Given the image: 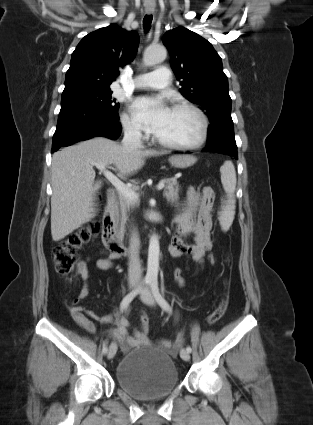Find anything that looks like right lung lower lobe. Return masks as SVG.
Returning a JSON list of instances; mask_svg holds the SVG:
<instances>
[{"mask_svg": "<svg viewBox=\"0 0 313 425\" xmlns=\"http://www.w3.org/2000/svg\"><path fill=\"white\" fill-rule=\"evenodd\" d=\"M118 121V113L72 100L61 102L52 152L97 136L115 140L122 129Z\"/></svg>", "mask_w": 313, "mask_h": 425, "instance_id": "right-lung-lower-lobe-1", "label": "right lung lower lobe"}]
</instances>
